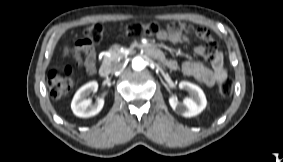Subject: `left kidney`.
<instances>
[{
  "label": "left kidney",
  "mask_w": 283,
  "mask_h": 162,
  "mask_svg": "<svg viewBox=\"0 0 283 162\" xmlns=\"http://www.w3.org/2000/svg\"><path fill=\"white\" fill-rule=\"evenodd\" d=\"M179 88L187 91L189 97L184 98L183 102H180L177 97L169 98V104L177 114L184 117H193L205 109L207 100L199 86L188 81H181Z\"/></svg>",
  "instance_id": "left-kidney-1"
}]
</instances>
